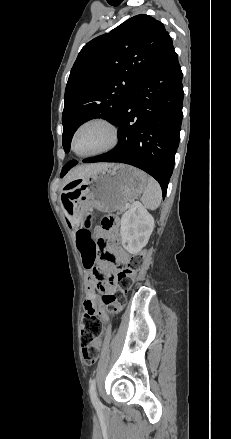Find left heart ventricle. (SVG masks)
Segmentation results:
<instances>
[{"mask_svg":"<svg viewBox=\"0 0 231 439\" xmlns=\"http://www.w3.org/2000/svg\"><path fill=\"white\" fill-rule=\"evenodd\" d=\"M109 141L108 130L97 124L84 127L76 136L75 149L79 153H89L104 147Z\"/></svg>","mask_w":231,"mask_h":439,"instance_id":"b2bd125f","label":"left heart ventricle"}]
</instances>
